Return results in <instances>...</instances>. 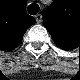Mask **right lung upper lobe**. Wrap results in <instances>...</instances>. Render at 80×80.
I'll use <instances>...</instances> for the list:
<instances>
[{
  "label": "right lung upper lobe",
  "instance_id": "right-lung-upper-lobe-1",
  "mask_svg": "<svg viewBox=\"0 0 80 80\" xmlns=\"http://www.w3.org/2000/svg\"><path fill=\"white\" fill-rule=\"evenodd\" d=\"M0 13V45L7 50L17 47L35 19L26 13L23 1L7 2Z\"/></svg>",
  "mask_w": 80,
  "mask_h": 80
}]
</instances>
